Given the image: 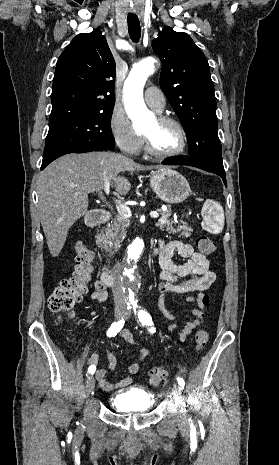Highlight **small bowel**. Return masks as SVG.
Returning <instances> with one entry per match:
<instances>
[{"mask_svg": "<svg viewBox=\"0 0 279 465\" xmlns=\"http://www.w3.org/2000/svg\"><path fill=\"white\" fill-rule=\"evenodd\" d=\"M156 254L159 258L161 271L158 275L159 290L162 293H197L195 297H189L188 302L194 303L198 306L193 309L192 313L196 317L189 319L183 323L177 322V317L169 312L166 313L168 319L173 323L168 326V330L172 331L179 328V340L184 342L192 331L201 322V313L204 308L202 304V297L205 295L216 279L214 272V264L211 258L206 255L196 252L192 245L178 240L165 242L159 241ZM175 254L180 255L185 259L183 263H175L172 258ZM108 297L107 285L101 280H96L94 283V290L91 294L92 300L96 303L104 302ZM122 338L130 345H138L140 349L135 361L129 364V375L119 381L118 383H110L106 380L107 370L105 368H97L95 371L96 379L100 387L105 391H113L118 388H123L131 384L132 375L136 374L140 368L141 363L148 357L149 349L143 346L129 330L121 332ZM107 368L114 369L117 363V358L114 352L110 349L107 350ZM100 356L97 353L92 354L88 359L90 366L98 364Z\"/></svg>", "mask_w": 279, "mask_h": 465, "instance_id": "1", "label": "small bowel"}]
</instances>
